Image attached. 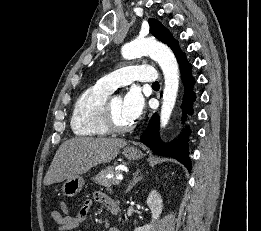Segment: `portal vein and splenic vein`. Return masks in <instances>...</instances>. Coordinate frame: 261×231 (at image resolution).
I'll return each mask as SVG.
<instances>
[{"label": "portal vein and splenic vein", "instance_id": "1", "mask_svg": "<svg viewBox=\"0 0 261 231\" xmlns=\"http://www.w3.org/2000/svg\"><path fill=\"white\" fill-rule=\"evenodd\" d=\"M107 178H110V175H107ZM123 179L122 175H118L116 179L113 180L114 185H119L121 180Z\"/></svg>", "mask_w": 261, "mask_h": 231}]
</instances>
